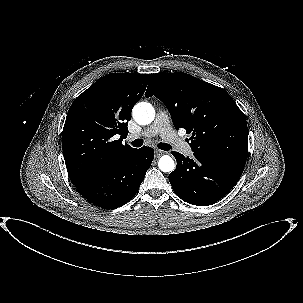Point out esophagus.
<instances>
[{
    "label": "esophagus",
    "instance_id": "esophagus-1",
    "mask_svg": "<svg viewBox=\"0 0 303 303\" xmlns=\"http://www.w3.org/2000/svg\"><path fill=\"white\" fill-rule=\"evenodd\" d=\"M164 153H165L164 151L156 149V150H155V157H156V158H159V157L162 156Z\"/></svg>",
    "mask_w": 303,
    "mask_h": 303
}]
</instances>
